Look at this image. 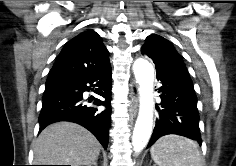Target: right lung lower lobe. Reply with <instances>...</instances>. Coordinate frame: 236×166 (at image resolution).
I'll return each mask as SVG.
<instances>
[{
  "label": "right lung lower lobe",
  "instance_id": "right-lung-lower-lobe-1",
  "mask_svg": "<svg viewBox=\"0 0 236 166\" xmlns=\"http://www.w3.org/2000/svg\"><path fill=\"white\" fill-rule=\"evenodd\" d=\"M98 87L95 93L105 100L89 99L97 106H105L100 111L85 104L83 92ZM112 76L111 66L87 75H60L50 77L46 81L43 105L39 117L42 131L49 124L59 121H70L82 125L99 140L106 149L110 127Z\"/></svg>",
  "mask_w": 236,
  "mask_h": 166
}]
</instances>
